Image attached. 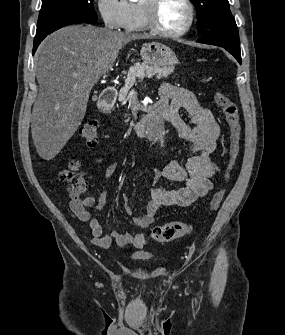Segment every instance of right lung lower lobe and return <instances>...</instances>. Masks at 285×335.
<instances>
[{"instance_id": "obj_1", "label": "right lung lower lobe", "mask_w": 285, "mask_h": 335, "mask_svg": "<svg viewBox=\"0 0 285 335\" xmlns=\"http://www.w3.org/2000/svg\"><path fill=\"white\" fill-rule=\"evenodd\" d=\"M88 22L87 20L83 19H75V18H68L63 19L57 22H54L50 24L49 26L36 31V36L34 38V46H33V54L35 53L38 45L41 43V41L51 32L58 30L66 25L73 24V23H83Z\"/></svg>"}]
</instances>
